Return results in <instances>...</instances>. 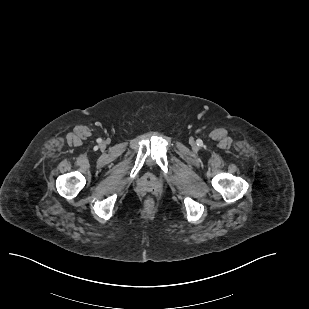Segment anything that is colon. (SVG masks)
<instances>
[{
	"instance_id": "5ec220e1",
	"label": "colon",
	"mask_w": 309,
	"mask_h": 309,
	"mask_svg": "<svg viewBox=\"0 0 309 309\" xmlns=\"http://www.w3.org/2000/svg\"><path fill=\"white\" fill-rule=\"evenodd\" d=\"M145 205L149 208L154 206V200L152 198H147L145 201Z\"/></svg>"
}]
</instances>
